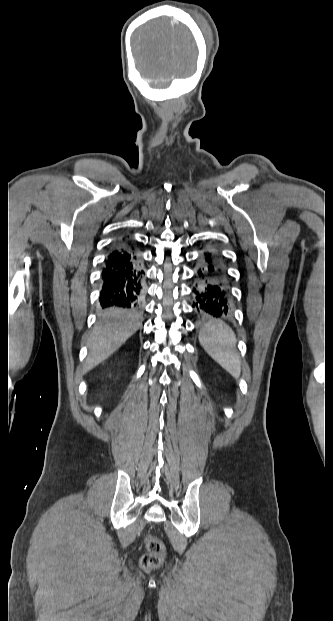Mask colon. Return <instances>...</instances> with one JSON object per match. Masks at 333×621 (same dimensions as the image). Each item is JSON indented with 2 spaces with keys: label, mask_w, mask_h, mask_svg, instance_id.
Masks as SVG:
<instances>
[{
  "label": "colon",
  "mask_w": 333,
  "mask_h": 621,
  "mask_svg": "<svg viewBox=\"0 0 333 621\" xmlns=\"http://www.w3.org/2000/svg\"><path fill=\"white\" fill-rule=\"evenodd\" d=\"M144 543L147 553L141 557L140 565L143 570L151 571L163 564L165 546L159 538L151 535L145 537Z\"/></svg>",
  "instance_id": "obj_1"
}]
</instances>
